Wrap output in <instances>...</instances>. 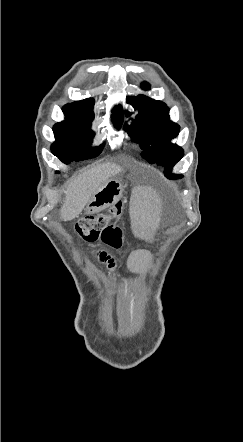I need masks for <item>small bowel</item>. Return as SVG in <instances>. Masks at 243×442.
I'll use <instances>...</instances> for the list:
<instances>
[{"label":"small bowel","mask_w":243,"mask_h":442,"mask_svg":"<svg viewBox=\"0 0 243 442\" xmlns=\"http://www.w3.org/2000/svg\"><path fill=\"white\" fill-rule=\"evenodd\" d=\"M103 253V252H102ZM101 255V254H100ZM100 261L105 263L107 265V268L111 271L114 272L115 268H116V263L114 262V260L112 258H108V260L103 261L101 260V258L99 257Z\"/></svg>","instance_id":"obj_1"}]
</instances>
